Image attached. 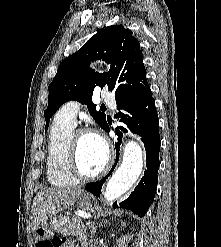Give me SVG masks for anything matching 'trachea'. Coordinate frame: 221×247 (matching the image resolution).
Instances as JSON below:
<instances>
[{
    "label": "trachea",
    "instance_id": "1",
    "mask_svg": "<svg viewBox=\"0 0 221 247\" xmlns=\"http://www.w3.org/2000/svg\"><path fill=\"white\" fill-rule=\"evenodd\" d=\"M101 107L106 109V107H105V106H101Z\"/></svg>",
    "mask_w": 221,
    "mask_h": 247
}]
</instances>
